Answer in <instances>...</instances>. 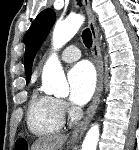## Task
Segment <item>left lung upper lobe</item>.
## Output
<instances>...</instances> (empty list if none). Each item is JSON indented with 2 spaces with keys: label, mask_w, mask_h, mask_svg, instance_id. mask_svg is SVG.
<instances>
[{
  "label": "left lung upper lobe",
  "mask_w": 139,
  "mask_h": 150,
  "mask_svg": "<svg viewBox=\"0 0 139 150\" xmlns=\"http://www.w3.org/2000/svg\"><path fill=\"white\" fill-rule=\"evenodd\" d=\"M56 16L52 9H45L36 17L26 36V50L24 57L25 74L27 82L31 77V67L34 56L47 37L49 30L55 22Z\"/></svg>",
  "instance_id": "5c2ea615"
}]
</instances>
